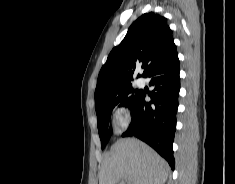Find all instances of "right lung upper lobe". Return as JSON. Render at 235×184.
I'll return each instance as SVG.
<instances>
[{"instance_id":"cb5924a9","label":"right lung upper lobe","mask_w":235,"mask_h":184,"mask_svg":"<svg viewBox=\"0 0 235 184\" xmlns=\"http://www.w3.org/2000/svg\"><path fill=\"white\" fill-rule=\"evenodd\" d=\"M176 51L172 30L167 19L146 13L129 27L122 42L114 47L98 75L95 90V107L111 102V89L131 84L136 69L143 68L142 75L163 62Z\"/></svg>"}]
</instances>
